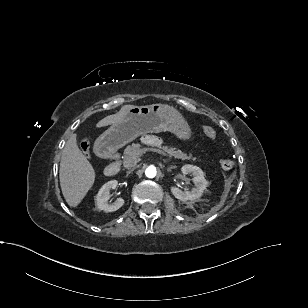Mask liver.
Returning a JSON list of instances; mask_svg holds the SVG:
<instances>
[{"mask_svg": "<svg viewBox=\"0 0 308 308\" xmlns=\"http://www.w3.org/2000/svg\"><path fill=\"white\" fill-rule=\"evenodd\" d=\"M134 105H125L119 112L106 116L96 127L112 125L120 121ZM60 186L63 196L71 207H76L85 197L95 181V171L77 145L73 134L62 151L59 170Z\"/></svg>", "mask_w": 308, "mask_h": 308, "instance_id": "1", "label": "liver"}]
</instances>
